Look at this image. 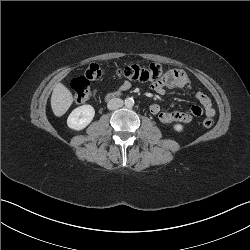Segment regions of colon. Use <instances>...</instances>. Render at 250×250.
Instances as JSON below:
<instances>
[{"mask_svg":"<svg viewBox=\"0 0 250 250\" xmlns=\"http://www.w3.org/2000/svg\"><path fill=\"white\" fill-rule=\"evenodd\" d=\"M120 77L138 81V82H159L165 77V73L160 64L154 63L148 66L127 65L116 70ZM105 75L104 69L98 64H91L81 77L72 81L74 100L77 103H83L90 100L95 95V90L91 88L90 81L101 79ZM214 124L212 118L208 117L203 120L205 128H211Z\"/></svg>","mask_w":250,"mask_h":250,"instance_id":"1","label":"colon"}]
</instances>
